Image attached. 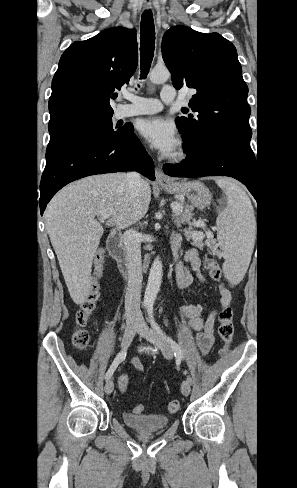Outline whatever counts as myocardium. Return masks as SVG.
Wrapping results in <instances>:
<instances>
[{"label":"myocardium","instance_id":"obj_1","mask_svg":"<svg viewBox=\"0 0 297 488\" xmlns=\"http://www.w3.org/2000/svg\"><path fill=\"white\" fill-rule=\"evenodd\" d=\"M187 156L186 148L183 144H180L179 147L174 151L169 160L171 162L177 163L183 161Z\"/></svg>","mask_w":297,"mask_h":488}]
</instances>
